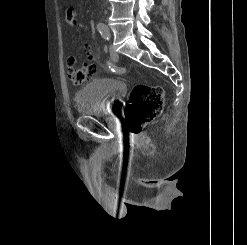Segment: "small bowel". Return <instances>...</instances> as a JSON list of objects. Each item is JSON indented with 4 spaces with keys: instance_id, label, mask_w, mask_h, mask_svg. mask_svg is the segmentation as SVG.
I'll return each instance as SVG.
<instances>
[{
    "instance_id": "obj_1",
    "label": "small bowel",
    "mask_w": 247,
    "mask_h": 245,
    "mask_svg": "<svg viewBox=\"0 0 247 245\" xmlns=\"http://www.w3.org/2000/svg\"><path fill=\"white\" fill-rule=\"evenodd\" d=\"M66 19L69 24H73L75 21V14L72 8L66 10Z\"/></svg>"
}]
</instances>
